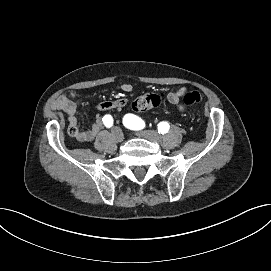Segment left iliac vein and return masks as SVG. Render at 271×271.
Listing matches in <instances>:
<instances>
[{
    "instance_id": "obj_1",
    "label": "left iliac vein",
    "mask_w": 271,
    "mask_h": 271,
    "mask_svg": "<svg viewBox=\"0 0 271 271\" xmlns=\"http://www.w3.org/2000/svg\"><path fill=\"white\" fill-rule=\"evenodd\" d=\"M142 138L148 139L152 142L161 143L162 137L157 132L154 131H142L139 133Z\"/></svg>"
}]
</instances>
